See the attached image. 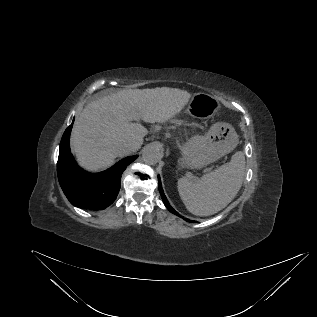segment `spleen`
Wrapping results in <instances>:
<instances>
[{
  "mask_svg": "<svg viewBox=\"0 0 317 317\" xmlns=\"http://www.w3.org/2000/svg\"><path fill=\"white\" fill-rule=\"evenodd\" d=\"M244 153L236 152L229 163L197 180H178V192L187 210L209 216L225 208L239 192L245 173Z\"/></svg>",
  "mask_w": 317,
  "mask_h": 317,
  "instance_id": "1",
  "label": "spleen"
}]
</instances>
